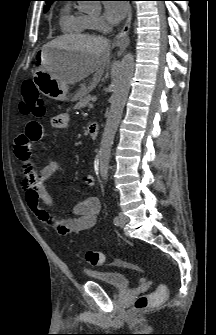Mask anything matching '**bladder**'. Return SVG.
Returning <instances> with one entry per match:
<instances>
[{"label": "bladder", "mask_w": 216, "mask_h": 335, "mask_svg": "<svg viewBox=\"0 0 216 335\" xmlns=\"http://www.w3.org/2000/svg\"><path fill=\"white\" fill-rule=\"evenodd\" d=\"M85 275L93 281L105 284L115 290H125L129 286V274L119 270H87Z\"/></svg>", "instance_id": "31cf9c89"}]
</instances>
